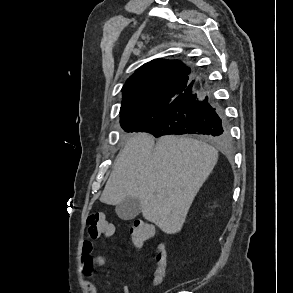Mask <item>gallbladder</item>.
<instances>
[{
    "instance_id": "obj_1",
    "label": "gallbladder",
    "mask_w": 293,
    "mask_h": 293,
    "mask_svg": "<svg viewBox=\"0 0 293 293\" xmlns=\"http://www.w3.org/2000/svg\"><path fill=\"white\" fill-rule=\"evenodd\" d=\"M115 210L120 219L132 220L140 213L141 203L138 198L127 197L117 204Z\"/></svg>"
}]
</instances>
